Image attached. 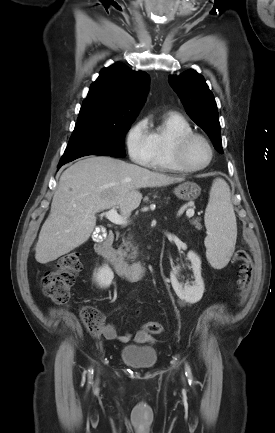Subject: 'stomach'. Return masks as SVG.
<instances>
[{"label":"stomach","mask_w":275,"mask_h":433,"mask_svg":"<svg viewBox=\"0 0 275 433\" xmlns=\"http://www.w3.org/2000/svg\"><path fill=\"white\" fill-rule=\"evenodd\" d=\"M175 195L185 201L195 200L201 193V188L194 182H184L174 190Z\"/></svg>","instance_id":"stomach-1"}]
</instances>
